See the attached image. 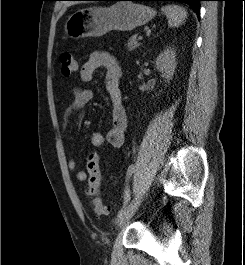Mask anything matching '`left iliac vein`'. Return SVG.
<instances>
[{
  "mask_svg": "<svg viewBox=\"0 0 245 265\" xmlns=\"http://www.w3.org/2000/svg\"><path fill=\"white\" fill-rule=\"evenodd\" d=\"M142 201V194L137 195V197L132 201V203L129 205L128 209L126 210L125 214L117 219L116 224L118 227L125 226L130 218L133 216V214L138 209L140 203Z\"/></svg>",
  "mask_w": 245,
  "mask_h": 265,
  "instance_id": "obj_1",
  "label": "left iliac vein"
}]
</instances>
